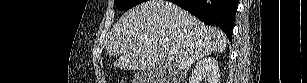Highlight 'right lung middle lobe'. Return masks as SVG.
Instances as JSON below:
<instances>
[{
  "label": "right lung middle lobe",
  "mask_w": 307,
  "mask_h": 83,
  "mask_svg": "<svg viewBox=\"0 0 307 83\" xmlns=\"http://www.w3.org/2000/svg\"><path fill=\"white\" fill-rule=\"evenodd\" d=\"M143 2L144 0H115L114 4L118 9L126 11Z\"/></svg>",
  "instance_id": "dd1d6c3e"
}]
</instances>
